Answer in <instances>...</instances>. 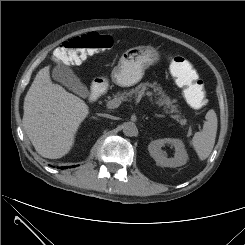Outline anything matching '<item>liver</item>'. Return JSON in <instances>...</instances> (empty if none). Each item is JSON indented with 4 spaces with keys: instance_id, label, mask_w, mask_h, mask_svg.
Masks as SVG:
<instances>
[{
    "instance_id": "obj_1",
    "label": "liver",
    "mask_w": 245,
    "mask_h": 245,
    "mask_svg": "<svg viewBox=\"0 0 245 245\" xmlns=\"http://www.w3.org/2000/svg\"><path fill=\"white\" fill-rule=\"evenodd\" d=\"M49 70L46 66L37 73L25 96L23 126L41 156L57 159L72 148L89 108L82 99L54 84Z\"/></svg>"
}]
</instances>
